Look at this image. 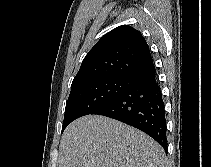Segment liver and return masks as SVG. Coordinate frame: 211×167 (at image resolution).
Wrapping results in <instances>:
<instances>
[{
  "label": "liver",
  "instance_id": "6515ba94",
  "mask_svg": "<svg viewBox=\"0 0 211 167\" xmlns=\"http://www.w3.org/2000/svg\"><path fill=\"white\" fill-rule=\"evenodd\" d=\"M59 167H166L163 148L117 120L88 115L73 121L59 146Z\"/></svg>",
  "mask_w": 211,
  "mask_h": 167
}]
</instances>
